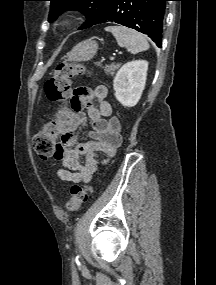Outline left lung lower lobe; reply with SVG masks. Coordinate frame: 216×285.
<instances>
[{
	"label": "left lung lower lobe",
	"mask_w": 216,
	"mask_h": 285,
	"mask_svg": "<svg viewBox=\"0 0 216 285\" xmlns=\"http://www.w3.org/2000/svg\"><path fill=\"white\" fill-rule=\"evenodd\" d=\"M166 1L169 0H112L94 25L115 22L147 34L161 47Z\"/></svg>",
	"instance_id": "0a47b994"
}]
</instances>
